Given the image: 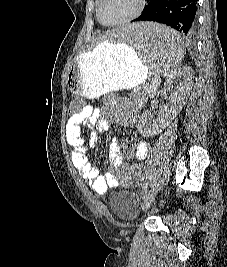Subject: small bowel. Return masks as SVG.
Wrapping results in <instances>:
<instances>
[{"label": "small bowel", "mask_w": 227, "mask_h": 267, "mask_svg": "<svg viewBox=\"0 0 227 267\" xmlns=\"http://www.w3.org/2000/svg\"><path fill=\"white\" fill-rule=\"evenodd\" d=\"M140 112V104L122 98L117 101V108L114 111H105L100 108L88 105L82 109L80 115H71L66 123L65 136L67 142L73 147L71 159L80 178L87 182L97 193H105L110 188L119 184L118 177L113 172L104 175L94 168L86 156L85 138L82 135V128L89 131L88 143L96 146L99 133L107 132L111 127L112 120L121 123L133 124L137 122ZM124 148L137 160L147 159L149 148L147 143L139 138H129ZM109 158L113 166H119L124 161L121 153V145L112 141L109 146Z\"/></svg>", "instance_id": "obj_1"}]
</instances>
